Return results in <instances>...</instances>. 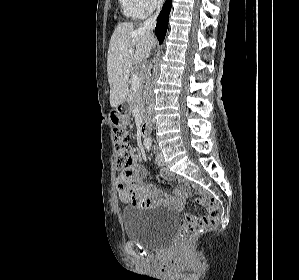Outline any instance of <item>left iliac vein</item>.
<instances>
[{"mask_svg":"<svg viewBox=\"0 0 299 280\" xmlns=\"http://www.w3.org/2000/svg\"><path fill=\"white\" fill-rule=\"evenodd\" d=\"M156 163L159 165V166H163L164 165V157L162 155L161 152H159L156 156Z\"/></svg>","mask_w":299,"mask_h":280,"instance_id":"1","label":"left iliac vein"}]
</instances>
